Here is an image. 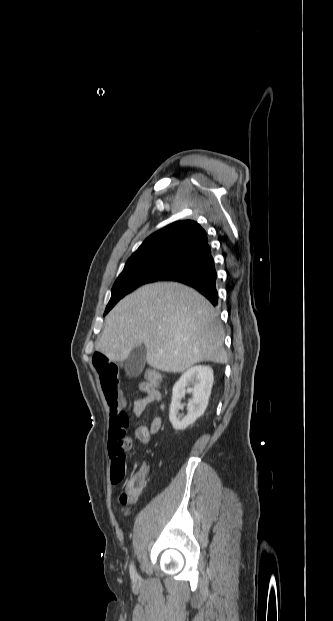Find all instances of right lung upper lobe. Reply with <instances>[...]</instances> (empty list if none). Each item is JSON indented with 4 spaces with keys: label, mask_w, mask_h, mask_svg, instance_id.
Wrapping results in <instances>:
<instances>
[{
    "label": "right lung upper lobe",
    "mask_w": 333,
    "mask_h": 621,
    "mask_svg": "<svg viewBox=\"0 0 333 621\" xmlns=\"http://www.w3.org/2000/svg\"><path fill=\"white\" fill-rule=\"evenodd\" d=\"M207 244V234L197 222L180 220L146 238L127 263L166 257L186 259Z\"/></svg>",
    "instance_id": "cb5924a9"
}]
</instances>
